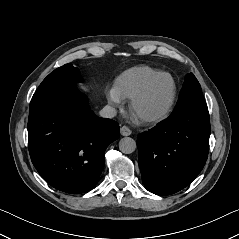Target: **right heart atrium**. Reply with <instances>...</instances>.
I'll return each mask as SVG.
<instances>
[{
    "mask_svg": "<svg viewBox=\"0 0 239 239\" xmlns=\"http://www.w3.org/2000/svg\"><path fill=\"white\" fill-rule=\"evenodd\" d=\"M106 100L109 105L118 107L122 104V97L117 93L115 88H108L106 91Z\"/></svg>",
    "mask_w": 239,
    "mask_h": 239,
    "instance_id": "right-heart-atrium-1",
    "label": "right heart atrium"
}]
</instances>
